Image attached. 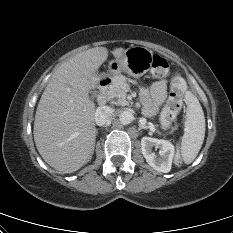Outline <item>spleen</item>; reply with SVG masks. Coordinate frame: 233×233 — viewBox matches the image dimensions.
<instances>
[{
  "instance_id": "obj_1",
  "label": "spleen",
  "mask_w": 233,
  "mask_h": 233,
  "mask_svg": "<svg viewBox=\"0 0 233 233\" xmlns=\"http://www.w3.org/2000/svg\"><path fill=\"white\" fill-rule=\"evenodd\" d=\"M187 102L184 134L181 142V157L185 164H190L198 155L205 137V117L197 97L186 93Z\"/></svg>"
}]
</instances>
